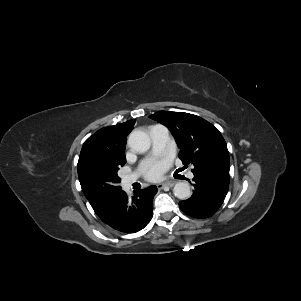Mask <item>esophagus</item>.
Here are the masks:
<instances>
[{
  "mask_svg": "<svg viewBox=\"0 0 301 301\" xmlns=\"http://www.w3.org/2000/svg\"><path fill=\"white\" fill-rule=\"evenodd\" d=\"M174 182L173 181H169V182H166V183H162V184H158L157 187L158 189H163L164 187H173L174 186Z\"/></svg>",
  "mask_w": 301,
  "mask_h": 301,
  "instance_id": "obj_1",
  "label": "esophagus"
}]
</instances>
